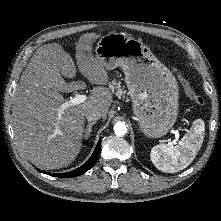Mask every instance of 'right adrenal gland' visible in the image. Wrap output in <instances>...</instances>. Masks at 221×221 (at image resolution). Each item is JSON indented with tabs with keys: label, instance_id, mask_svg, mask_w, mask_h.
Wrapping results in <instances>:
<instances>
[{
	"label": "right adrenal gland",
	"instance_id": "2a0ac1e0",
	"mask_svg": "<svg viewBox=\"0 0 221 221\" xmlns=\"http://www.w3.org/2000/svg\"><path fill=\"white\" fill-rule=\"evenodd\" d=\"M96 124V121L90 122L88 123V125L86 126V128L84 129V138L88 139V137L90 136L91 132H92V126Z\"/></svg>",
	"mask_w": 221,
	"mask_h": 221
}]
</instances>
